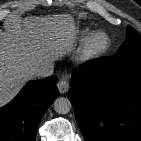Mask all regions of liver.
<instances>
[{"label":"liver","instance_id":"6515ba94","mask_svg":"<svg viewBox=\"0 0 141 141\" xmlns=\"http://www.w3.org/2000/svg\"><path fill=\"white\" fill-rule=\"evenodd\" d=\"M77 28L69 14L27 16L0 31V107L35 77L34 69L68 54L75 46Z\"/></svg>","mask_w":141,"mask_h":141}]
</instances>
